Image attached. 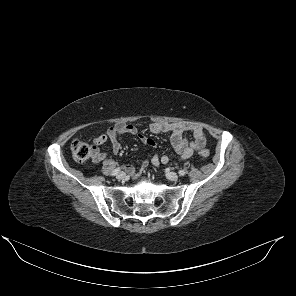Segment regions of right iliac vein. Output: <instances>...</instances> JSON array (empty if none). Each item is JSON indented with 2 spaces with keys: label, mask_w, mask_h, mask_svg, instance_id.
Wrapping results in <instances>:
<instances>
[{
  "label": "right iliac vein",
  "mask_w": 296,
  "mask_h": 296,
  "mask_svg": "<svg viewBox=\"0 0 296 296\" xmlns=\"http://www.w3.org/2000/svg\"><path fill=\"white\" fill-rule=\"evenodd\" d=\"M116 178L118 180H123L125 178V173L124 172H120L119 174H117Z\"/></svg>",
  "instance_id": "1"
}]
</instances>
